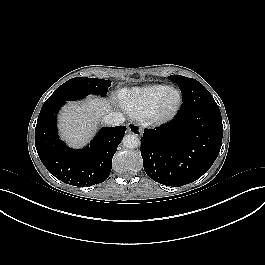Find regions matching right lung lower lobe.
<instances>
[{
    "label": "right lung lower lobe",
    "mask_w": 265,
    "mask_h": 265,
    "mask_svg": "<svg viewBox=\"0 0 265 265\" xmlns=\"http://www.w3.org/2000/svg\"><path fill=\"white\" fill-rule=\"evenodd\" d=\"M64 103L44 104L35 128V146L47 170L62 182L86 187L104 182L112 158L126 131L125 126L106 127L80 150L68 148L58 137L57 112Z\"/></svg>",
    "instance_id": "98d812e1"
}]
</instances>
